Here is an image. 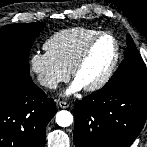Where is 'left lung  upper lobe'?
I'll list each match as a JSON object with an SVG mask.
<instances>
[{
    "instance_id": "left-lung-upper-lobe-1",
    "label": "left lung upper lobe",
    "mask_w": 147,
    "mask_h": 147,
    "mask_svg": "<svg viewBox=\"0 0 147 147\" xmlns=\"http://www.w3.org/2000/svg\"><path fill=\"white\" fill-rule=\"evenodd\" d=\"M126 82L147 83L146 65L130 35H127L125 58L105 87Z\"/></svg>"
}]
</instances>
